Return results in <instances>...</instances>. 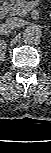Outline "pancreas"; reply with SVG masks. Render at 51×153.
<instances>
[{"mask_svg":"<svg viewBox=\"0 0 51 153\" xmlns=\"http://www.w3.org/2000/svg\"><path fill=\"white\" fill-rule=\"evenodd\" d=\"M29 10L30 7L27 0H16V3L8 6V13L10 16L25 17Z\"/></svg>","mask_w":51,"mask_h":153,"instance_id":"obj_1","label":"pancreas"}]
</instances>
